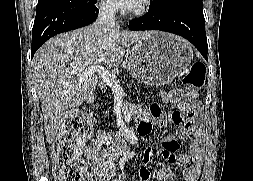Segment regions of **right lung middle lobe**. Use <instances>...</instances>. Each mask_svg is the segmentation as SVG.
<instances>
[{"label":"right lung middle lobe","mask_w":253,"mask_h":181,"mask_svg":"<svg viewBox=\"0 0 253 181\" xmlns=\"http://www.w3.org/2000/svg\"><path fill=\"white\" fill-rule=\"evenodd\" d=\"M48 1H50V0H38V5L48 2Z\"/></svg>","instance_id":"1"}]
</instances>
